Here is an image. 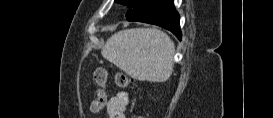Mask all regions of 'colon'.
Wrapping results in <instances>:
<instances>
[{
  "label": "colon",
  "instance_id": "colon-1",
  "mask_svg": "<svg viewBox=\"0 0 273 118\" xmlns=\"http://www.w3.org/2000/svg\"><path fill=\"white\" fill-rule=\"evenodd\" d=\"M108 73L107 70L103 67H98L94 72V79L96 84L98 85V90L94 100L91 103V111L99 112L107 104L108 96L106 92V84H107ZM116 84L121 88L128 87L130 80L127 75L124 73H117L115 76ZM137 118H143V116H137Z\"/></svg>",
  "mask_w": 273,
  "mask_h": 118
}]
</instances>
